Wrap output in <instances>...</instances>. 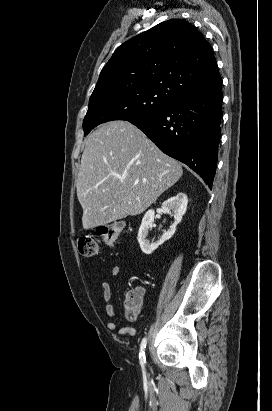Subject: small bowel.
Segmentation results:
<instances>
[{"instance_id":"small-bowel-1","label":"small bowel","mask_w":272,"mask_h":411,"mask_svg":"<svg viewBox=\"0 0 272 411\" xmlns=\"http://www.w3.org/2000/svg\"><path fill=\"white\" fill-rule=\"evenodd\" d=\"M121 272H122L121 267L115 266L112 269L111 274L113 277H118L121 274ZM101 289H102L103 300L105 303L106 313L109 317L113 318L117 315V313L111 302L112 293H111L110 284L106 281L102 282ZM107 327L109 330H116L119 335H129L131 337L137 336V330L135 328L131 326L119 327L115 321H109L107 323Z\"/></svg>"}]
</instances>
